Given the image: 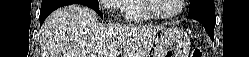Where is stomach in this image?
Listing matches in <instances>:
<instances>
[{
	"label": "stomach",
	"instance_id": "0dacf381",
	"mask_svg": "<svg viewBox=\"0 0 249 57\" xmlns=\"http://www.w3.org/2000/svg\"><path fill=\"white\" fill-rule=\"evenodd\" d=\"M190 45L187 33L178 28H166L154 48V57H188Z\"/></svg>",
	"mask_w": 249,
	"mask_h": 57
}]
</instances>
